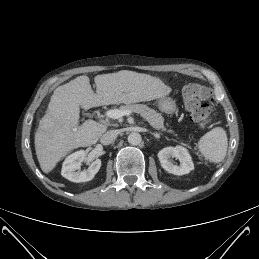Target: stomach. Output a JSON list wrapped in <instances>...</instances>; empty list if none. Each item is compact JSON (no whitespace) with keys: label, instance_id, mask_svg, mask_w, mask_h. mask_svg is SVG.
I'll list each match as a JSON object with an SVG mask.
<instances>
[{"label":"stomach","instance_id":"obj_1","mask_svg":"<svg viewBox=\"0 0 259 259\" xmlns=\"http://www.w3.org/2000/svg\"><path fill=\"white\" fill-rule=\"evenodd\" d=\"M158 105L161 111L171 114L176 110V103L170 97H161L158 101Z\"/></svg>","mask_w":259,"mask_h":259}]
</instances>
